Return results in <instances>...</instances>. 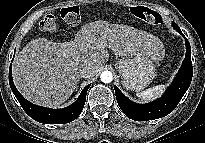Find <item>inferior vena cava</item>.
<instances>
[{
  "instance_id": "obj_1",
  "label": "inferior vena cava",
  "mask_w": 205,
  "mask_h": 143,
  "mask_svg": "<svg viewBox=\"0 0 205 143\" xmlns=\"http://www.w3.org/2000/svg\"><path fill=\"white\" fill-rule=\"evenodd\" d=\"M96 73V70L93 66L91 65H85L81 70H80V76L82 78H90L93 77Z\"/></svg>"
}]
</instances>
